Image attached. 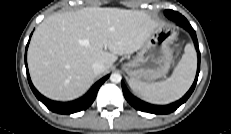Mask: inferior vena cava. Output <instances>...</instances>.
I'll return each mask as SVG.
<instances>
[{
	"label": "inferior vena cava",
	"mask_w": 231,
	"mask_h": 134,
	"mask_svg": "<svg viewBox=\"0 0 231 134\" xmlns=\"http://www.w3.org/2000/svg\"><path fill=\"white\" fill-rule=\"evenodd\" d=\"M104 69H105V66L102 62L100 61H97V62H94L93 65H92V70L95 74H100V73H103L104 72Z\"/></svg>",
	"instance_id": "602c4592"
}]
</instances>
